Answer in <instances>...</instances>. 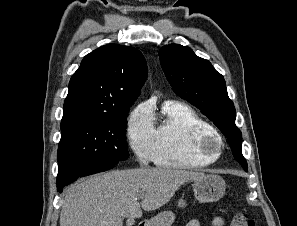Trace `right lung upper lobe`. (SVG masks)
<instances>
[{"label": "right lung upper lobe", "mask_w": 297, "mask_h": 226, "mask_svg": "<svg viewBox=\"0 0 297 226\" xmlns=\"http://www.w3.org/2000/svg\"><path fill=\"white\" fill-rule=\"evenodd\" d=\"M146 78L147 64L139 50L118 44L94 50L71 77L62 121L123 115L137 99Z\"/></svg>", "instance_id": "cb5924a9"}]
</instances>
